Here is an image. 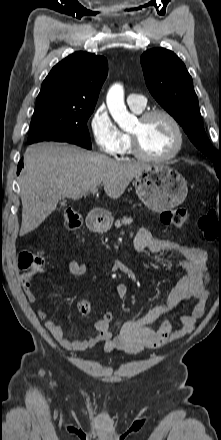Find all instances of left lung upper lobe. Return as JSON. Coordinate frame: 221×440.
I'll list each match as a JSON object with an SVG mask.
<instances>
[{
    "label": "left lung upper lobe",
    "instance_id": "1",
    "mask_svg": "<svg viewBox=\"0 0 221 440\" xmlns=\"http://www.w3.org/2000/svg\"><path fill=\"white\" fill-rule=\"evenodd\" d=\"M140 61L152 96L183 127L193 144L215 163L218 171L219 159L206 136L192 78L184 63L165 48L145 51Z\"/></svg>",
    "mask_w": 221,
    "mask_h": 440
}]
</instances>
